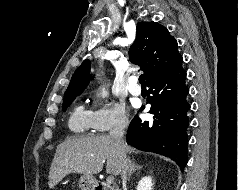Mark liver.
<instances>
[{
    "mask_svg": "<svg viewBox=\"0 0 238 190\" xmlns=\"http://www.w3.org/2000/svg\"><path fill=\"white\" fill-rule=\"evenodd\" d=\"M130 151L125 144V153ZM106 160V172L118 175L120 154L110 135L67 139L57 146L49 171V187L54 188L71 173L93 177L102 171Z\"/></svg>",
    "mask_w": 238,
    "mask_h": 190,
    "instance_id": "6515ba94",
    "label": "liver"
}]
</instances>
